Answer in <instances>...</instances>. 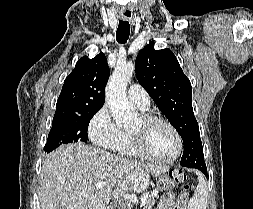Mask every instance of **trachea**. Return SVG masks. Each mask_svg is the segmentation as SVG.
<instances>
[{
    "mask_svg": "<svg viewBox=\"0 0 253 209\" xmlns=\"http://www.w3.org/2000/svg\"><path fill=\"white\" fill-rule=\"evenodd\" d=\"M130 34L129 22L120 20L116 31V39L118 43L124 44L127 42Z\"/></svg>",
    "mask_w": 253,
    "mask_h": 209,
    "instance_id": "obj_1",
    "label": "trachea"
}]
</instances>
